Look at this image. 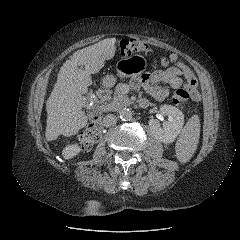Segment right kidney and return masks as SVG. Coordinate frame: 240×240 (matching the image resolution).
<instances>
[{"mask_svg":"<svg viewBox=\"0 0 240 240\" xmlns=\"http://www.w3.org/2000/svg\"><path fill=\"white\" fill-rule=\"evenodd\" d=\"M81 151L80 147L77 144L67 145L63 151L62 155L65 159H71L79 154Z\"/></svg>","mask_w":240,"mask_h":240,"instance_id":"1","label":"right kidney"}]
</instances>
